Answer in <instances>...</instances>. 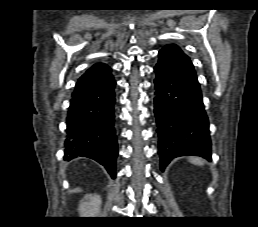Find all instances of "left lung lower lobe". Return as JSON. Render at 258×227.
I'll return each instance as SVG.
<instances>
[{"label":"left lung lower lobe","mask_w":258,"mask_h":227,"mask_svg":"<svg viewBox=\"0 0 258 227\" xmlns=\"http://www.w3.org/2000/svg\"><path fill=\"white\" fill-rule=\"evenodd\" d=\"M155 70L154 113L159 136L160 168L183 155L211 160L209 122L201 89L189 57L176 45L159 53Z\"/></svg>","instance_id":"obj_1"}]
</instances>
